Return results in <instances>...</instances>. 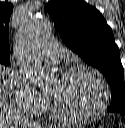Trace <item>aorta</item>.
Returning a JSON list of instances; mask_svg holds the SVG:
<instances>
[{
  "mask_svg": "<svg viewBox=\"0 0 125 128\" xmlns=\"http://www.w3.org/2000/svg\"><path fill=\"white\" fill-rule=\"evenodd\" d=\"M50 35V25L45 19L26 18L15 38V50L20 66L41 89L52 84L51 74L41 65L37 57L38 48Z\"/></svg>",
  "mask_w": 125,
  "mask_h": 128,
  "instance_id": "obj_1",
  "label": "aorta"
}]
</instances>
